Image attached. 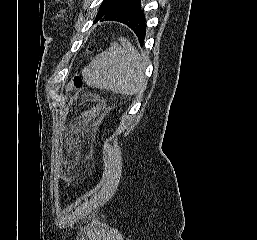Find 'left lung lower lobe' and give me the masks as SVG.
Masks as SVG:
<instances>
[{
	"label": "left lung lower lobe",
	"mask_w": 257,
	"mask_h": 240,
	"mask_svg": "<svg viewBox=\"0 0 257 240\" xmlns=\"http://www.w3.org/2000/svg\"><path fill=\"white\" fill-rule=\"evenodd\" d=\"M99 20L123 23L136 34L141 44L144 42L146 34V20L141 9L140 0H120Z\"/></svg>",
	"instance_id": "left-lung-lower-lobe-1"
}]
</instances>
